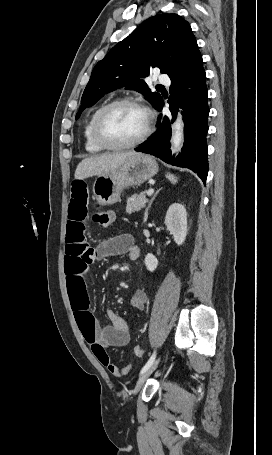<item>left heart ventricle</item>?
Returning a JSON list of instances; mask_svg holds the SVG:
<instances>
[{
	"mask_svg": "<svg viewBox=\"0 0 272 455\" xmlns=\"http://www.w3.org/2000/svg\"><path fill=\"white\" fill-rule=\"evenodd\" d=\"M102 135L116 144L137 139L145 127L144 113L133 106L121 105L109 110L101 121Z\"/></svg>",
	"mask_w": 272,
	"mask_h": 455,
	"instance_id": "b2bd125f",
	"label": "left heart ventricle"
}]
</instances>
